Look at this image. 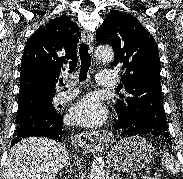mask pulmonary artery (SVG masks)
I'll use <instances>...</instances> for the list:
<instances>
[{
	"mask_svg": "<svg viewBox=\"0 0 183 179\" xmlns=\"http://www.w3.org/2000/svg\"><path fill=\"white\" fill-rule=\"evenodd\" d=\"M97 83L102 87H114L116 85L115 74L112 71L108 70L101 71L97 75ZM77 93L78 90L58 92L54 96V102L64 103L72 99Z\"/></svg>",
	"mask_w": 183,
	"mask_h": 179,
	"instance_id": "pulmonary-artery-1",
	"label": "pulmonary artery"
}]
</instances>
